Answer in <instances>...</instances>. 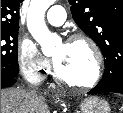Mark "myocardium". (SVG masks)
<instances>
[{
    "mask_svg": "<svg viewBox=\"0 0 123 113\" xmlns=\"http://www.w3.org/2000/svg\"><path fill=\"white\" fill-rule=\"evenodd\" d=\"M75 42H84L92 51L94 57V72L92 77L85 82L71 80L61 74L56 62H54L53 64V76L58 82L63 83L65 85L75 87L78 89H89L94 87L101 79L104 63L103 54L95 40L87 34L76 33L67 40V44Z\"/></svg>",
    "mask_w": 123,
    "mask_h": 113,
    "instance_id": "f54148a6",
    "label": "myocardium"
}]
</instances>
